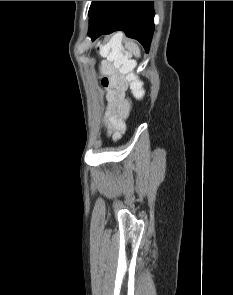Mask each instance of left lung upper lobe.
I'll list each match as a JSON object with an SVG mask.
<instances>
[{
    "label": "left lung upper lobe",
    "mask_w": 233,
    "mask_h": 295,
    "mask_svg": "<svg viewBox=\"0 0 233 295\" xmlns=\"http://www.w3.org/2000/svg\"><path fill=\"white\" fill-rule=\"evenodd\" d=\"M94 2H95V1H92V4H91V6H90V9H91L92 5L94 4ZM90 9H89V12H90Z\"/></svg>",
    "instance_id": "1"
}]
</instances>
